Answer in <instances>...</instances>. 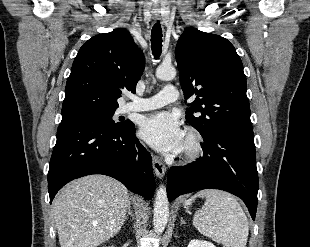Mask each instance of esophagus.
Returning <instances> with one entry per match:
<instances>
[{"label": "esophagus", "mask_w": 310, "mask_h": 247, "mask_svg": "<svg viewBox=\"0 0 310 247\" xmlns=\"http://www.w3.org/2000/svg\"><path fill=\"white\" fill-rule=\"evenodd\" d=\"M154 19H159V14L158 13H154ZM153 168L155 171V174L158 178H163L166 172V167L164 165V163L157 157V156H153Z\"/></svg>", "instance_id": "1"}]
</instances>
